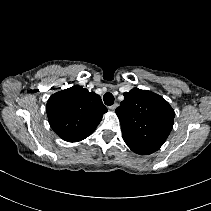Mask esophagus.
Masks as SVG:
<instances>
[{"label": "esophagus", "mask_w": 211, "mask_h": 211, "mask_svg": "<svg viewBox=\"0 0 211 211\" xmlns=\"http://www.w3.org/2000/svg\"><path fill=\"white\" fill-rule=\"evenodd\" d=\"M118 107V104L115 103L109 107L110 110L114 111Z\"/></svg>", "instance_id": "34e87169"}]
</instances>
